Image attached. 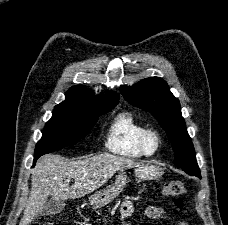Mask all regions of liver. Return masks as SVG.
Wrapping results in <instances>:
<instances>
[{
  "instance_id": "obj_1",
  "label": "liver",
  "mask_w": 228,
  "mask_h": 225,
  "mask_svg": "<svg viewBox=\"0 0 228 225\" xmlns=\"http://www.w3.org/2000/svg\"><path fill=\"white\" fill-rule=\"evenodd\" d=\"M138 165L126 157L96 155L83 161H67L61 155H44L32 169L31 191L19 225H30L34 217L42 215L49 195L52 199H81L105 185L116 171ZM71 179L74 185L69 187Z\"/></svg>"
}]
</instances>
